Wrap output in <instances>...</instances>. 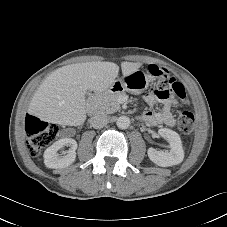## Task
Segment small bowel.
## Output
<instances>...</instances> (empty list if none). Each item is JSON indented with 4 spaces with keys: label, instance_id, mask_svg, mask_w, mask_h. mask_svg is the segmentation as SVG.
<instances>
[{
    "label": "small bowel",
    "instance_id": "1",
    "mask_svg": "<svg viewBox=\"0 0 227 227\" xmlns=\"http://www.w3.org/2000/svg\"><path fill=\"white\" fill-rule=\"evenodd\" d=\"M144 99L150 106H154L156 103L163 105L161 110L154 108L142 115V119L147 125L156 126L158 124H165L174 126L175 119L171 109L176 106V101L171 90L149 92L144 96Z\"/></svg>",
    "mask_w": 227,
    "mask_h": 227
}]
</instances>
